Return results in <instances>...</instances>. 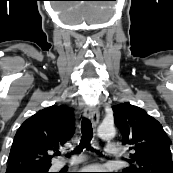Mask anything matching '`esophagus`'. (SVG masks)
Here are the masks:
<instances>
[{
  "mask_svg": "<svg viewBox=\"0 0 173 173\" xmlns=\"http://www.w3.org/2000/svg\"><path fill=\"white\" fill-rule=\"evenodd\" d=\"M84 116L89 118L95 127L98 125L100 113L96 106H86L84 109Z\"/></svg>",
  "mask_w": 173,
  "mask_h": 173,
  "instance_id": "obj_1",
  "label": "esophagus"
}]
</instances>
